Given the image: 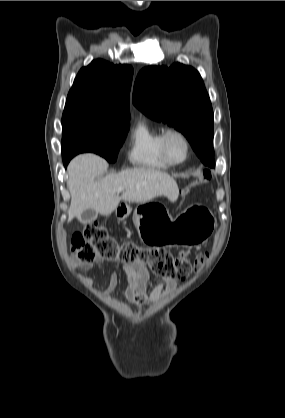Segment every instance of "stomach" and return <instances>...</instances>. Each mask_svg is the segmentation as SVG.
I'll list each match as a JSON object with an SVG mask.
<instances>
[{
	"instance_id": "obj_1",
	"label": "stomach",
	"mask_w": 285,
	"mask_h": 418,
	"mask_svg": "<svg viewBox=\"0 0 285 418\" xmlns=\"http://www.w3.org/2000/svg\"><path fill=\"white\" fill-rule=\"evenodd\" d=\"M145 204L139 206L133 216L140 238L146 243L166 236L172 244L195 245L205 242L213 233L215 222L211 212L202 206H193L176 218L163 224L155 214L145 211ZM131 209L128 208V213Z\"/></svg>"
}]
</instances>
